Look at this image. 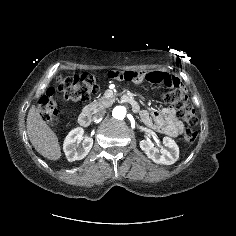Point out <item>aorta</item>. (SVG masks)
<instances>
[{
	"label": "aorta",
	"mask_w": 236,
	"mask_h": 236,
	"mask_svg": "<svg viewBox=\"0 0 236 236\" xmlns=\"http://www.w3.org/2000/svg\"><path fill=\"white\" fill-rule=\"evenodd\" d=\"M112 116H113V118H115L117 120L125 119L127 116L126 107L122 106V105L115 106L112 110Z\"/></svg>",
	"instance_id": "aorta-1"
}]
</instances>
